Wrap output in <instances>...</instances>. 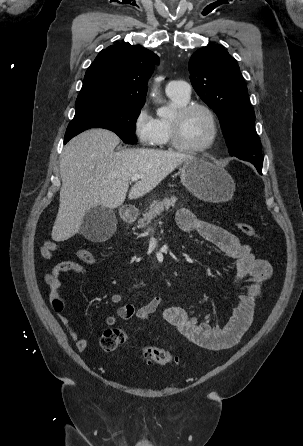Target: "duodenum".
Here are the masks:
<instances>
[{"mask_svg":"<svg viewBox=\"0 0 303 446\" xmlns=\"http://www.w3.org/2000/svg\"><path fill=\"white\" fill-rule=\"evenodd\" d=\"M122 218L126 222H130L135 218V212L132 209L126 208L122 212Z\"/></svg>","mask_w":303,"mask_h":446,"instance_id":"410a0bca","label":"duodenum"}]
</instances>
